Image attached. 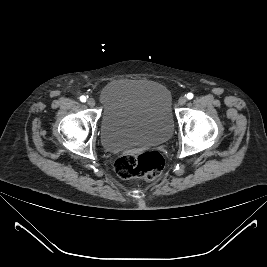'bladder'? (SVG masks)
Masks as SVG:
<instances>
[{
  "mask_svg": "<svg viewBox=\"0 0 267 267\" xmlns=\"http://www.w3.org/2000/svg\"><path fill=\"white\" fill-rule=\"evenodd\" d=\"M100 103V137L108 151L158 145L172 135V97L161 83L113 80L102 88Z\"/></svg>",
  "mask_w": 267,
  "mask_h": 267,
  "instance_id": "1",
  "label": "bladder"
}]
</instances>
